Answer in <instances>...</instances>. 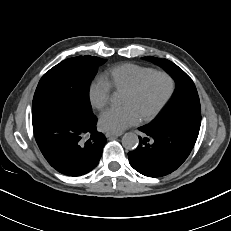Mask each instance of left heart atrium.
<instances>
[{"mask_svg":"<svg viewBox=\"0 0 231 231\" xmlns=\"http://www.w3.org/2000/svg\"><path fill=\"white\" fill-rule=\"evenodd\" d=\"M140 117L135 109L130 105L119 108H111L100 117V127L104 131L121 133L128 127L139 122Z\"/></svg>","mask_w":231,"mask_h":231,"instance_id":"39dd6f15","label":"left heart atrium"}]
</instances>
